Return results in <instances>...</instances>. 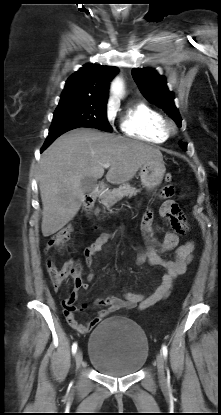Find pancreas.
I'll return each instance as SVG.
<instances>
[{
	"instance_id": "cf45deb5",
	"label": "pancreas",
	"mask_w": 221,
	"mask_h": 415,
	"mask_svg": "<svg viewBox=\"0 0 221 415\" xmlns=\"http://www.w3.org/2000/svg\"><path fill=\"white\" fill-rule=\"evenodd\" d=\"M139 190L132 187L129 183H124L119 186V188L110 190L101 195V201L104 206L107 208L113 206L116 202L121 200L123 197H132L135 196ZM99 212V209H96V213Z\"/></svg>"
}]
</instances>
